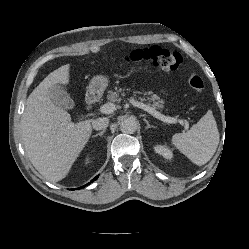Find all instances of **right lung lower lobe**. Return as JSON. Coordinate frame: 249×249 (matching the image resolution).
<instances>
[{"label": "right lung lower lobe", "instance_id": "right-lung-lower-lobe-1", "mask_svg": "<svg viewBox=\"0 0 249 249\" xmlns=\"http://www.w3.org/2000/svg\"><path fill=\"white\" fill-rule=\"evenodd\" d=\"M97 178H98V176H96L93 180H91V182L95 181ZM87 185H89V183H88ZM85 186H86V185H85ZM83 187H84V186H83ZM83 187H80V188H78V189H81V188H83ZM72 190H73V189H72Z\"/></svg>", "mask_w": 249, "mask_h": 249}]
</instances>
